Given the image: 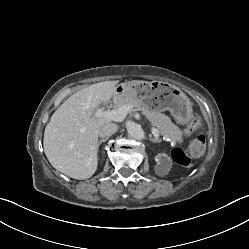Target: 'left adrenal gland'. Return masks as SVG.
Segmentation results:
<instances>
[{
	"label": "left adrenal gland",
	"instance_id": "left-adrenal-gland-1",
	"mask_svg": "<svg viewBox=\"0 0 249 249\" xmlns=\"http://www.w3.org/2000/svg\"><path fill=\"white\" fill-rule=\"evenodd\" d=\"M149 139L152 143H160L161 140L160 139H156V138H153L152 135L149 136Z\"/></svg>",
	"mask_w": 249,
	"mask_h": 249
}]
</instances>
